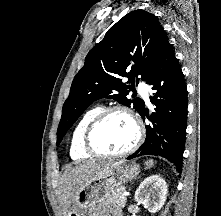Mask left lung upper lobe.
Instances as JSON below:
<instances>
[{"label": "left lung upper lobe", "mask_w": 221, "mask_h": 216, "mask_svg": "<svg viewBox=\"0 0 221 216\" xmlns=\"http://www.w3.org/2000/svg\"><path fill=\"white\" fill-rule=\"evenodd\" d=\"M168 43L157 17L141 9L130 12L112 26L87 54L84 66L72 82L62 109L57 145L85 109L99 98H113L125 106H133L140 114L144 101L126 96L130 90L134 91L135 77L147 81ZM125 77L129 79L127 82Z\"/></svg>", "instance_id": "obj_1"}]
</instances>
